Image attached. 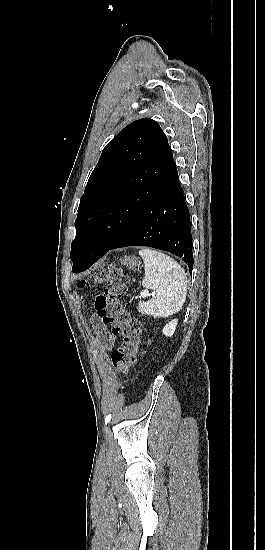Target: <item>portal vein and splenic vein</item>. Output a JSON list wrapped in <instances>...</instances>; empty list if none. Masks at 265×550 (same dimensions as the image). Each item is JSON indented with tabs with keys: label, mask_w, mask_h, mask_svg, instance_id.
Returning <instances> with one entry per match:
<instances>
[{
	"label": "portal vein and splenic vein",
	"mask_w": 265,
	"mask_h": 550,
	"mask_svg": "<svg viewBox=\"0 0 265 550\" xmlns=\"http://www.w3.org/2000/svg\"><path fill=\"white\" fill-rule=\"evenodd\" d=\"M147 295H148V294L145 293V292H142V293H141V297H146Z\"/></svg>",
	"instance_id": "1"
}]
</instances>
